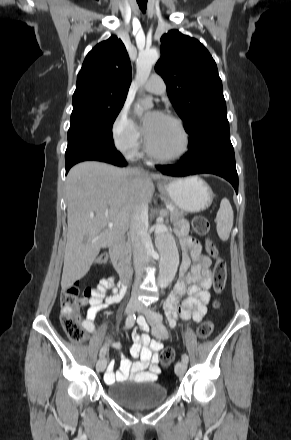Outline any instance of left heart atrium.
<instances>
[{
  "label": "left heart atrium",
  "mask_w": 291,
  "mask_h": 440,
  "mask_svg": "<svg viewBox=\"0 0 291 440\" xmlns=\"http://www.w3.org/2000/svg\"><path fill=\"white\" fill-rule=\"evenodd\" d=\"M162 116L163 115L160 112L155 111V112H152L151 114H149L145 118V120H144V130H145L146 134H148L151 131V128H152L153 124Z\"/></svg>",
  "instance_id": "39dd6f15"
}]
</instances>
